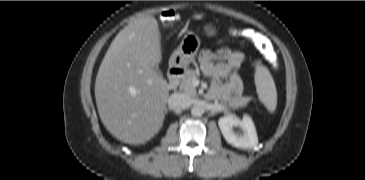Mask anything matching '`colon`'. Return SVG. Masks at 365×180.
Returning <instances> with one entry per match:
<instances>
[{
    "label": "colon",
    "mask_w": 365,
    "mask_h": 180,
    "mask_svg": "<svg viewBox=\"0 0 365 180\" xmlns=\"http://www.w3.org/2000/svg\"><path fill=\"white\" fill-rule=\"evenodd\" d=\"M163 21L169 24H173L176 23L179 20V15L177 12L173 11V10H169L163 13ZM239 35L241 37H246L249 38L251 36V33L248 31H240Z\"/></svg>",
    "instance_id": "5ec220e1"
}]
</instances>
